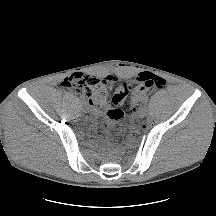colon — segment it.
Masks as SVG:
<instances>
[{"label":"colon","instance_id":"5ec220e1","mask_svg":"<svg viewBox=\"0 0 216 216\" xmlns=\"http://www.w3.org/2000/svg\"><path fill=\"white\" fill-rule=\"evenodd\" d=\"M138 85L120 84L113 93L107 78L97 76H82L68 78L63 85L89 100L92 106L103 113L102 126L106 129L116 126L123 118L122 104L129 93H132L131 109L146 99L153 88H164L163 78L143 73L138 79ZM110 104H112L110 106Z\"/></svg>","mask_w":216,"mask_h":216}]
</instances>
